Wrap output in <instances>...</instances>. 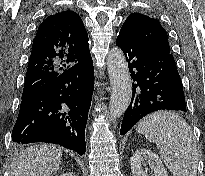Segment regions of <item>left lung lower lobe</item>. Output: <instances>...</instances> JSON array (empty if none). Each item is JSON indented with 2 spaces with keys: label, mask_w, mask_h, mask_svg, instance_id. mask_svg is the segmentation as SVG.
Returning a JSON list of instances; mask_svg holds the SVG:
<instances>
[{
  "label": "left lung lower lobe",
  "mask_w": 205,
  "mask_h": 176,
  "mask_svg": "<svg viewBox=\"0 0 205 176\" xmlns=\"http://www.w3.org/2000/svg\"><path fill=\"white\" fill-rule=\"evenodd\" d=\"M116 45L125 54L133 93L121 125L127 133L141 118L158 110L186 112L183 85L171 53L144 44L121 29Z\"/></svg>",
  "instance_id": "0a47b994"
}]
</instances>
